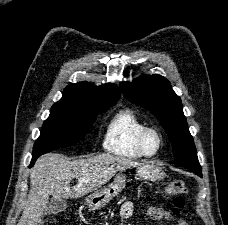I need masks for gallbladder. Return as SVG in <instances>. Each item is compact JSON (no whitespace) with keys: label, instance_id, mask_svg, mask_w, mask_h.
Returning <instances> with one entry per match:
<instances>
[{"label":"gallbladder","instance_id":"bac80fb5","mask_svg":"<svg viewBox=\"0 0 228 225\" xmlns=\"http://www.w3.org/2000/svg\"><path fill=\"white\" fill-rule=\"evenodd\" d=\"M68 207V201L66 199H55L52 197L50 203H48V209L45 211V215H57L62 213Z\"/></svg>","mask_w":228,"mask_h":225}]
</instances>
